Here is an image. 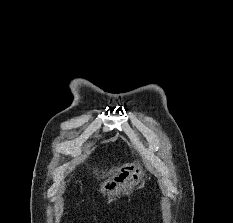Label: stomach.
I'll use <instances>...</instances> for the list:
<instances>
[{"instance_id":"1","label":"stomach","mask_w":233,"mask_h":223,"mask_svg":"<svg viewBox=\"0 0 233 223\" xmlns=\"http://www.w3.org/2000/svg\"><path fill=\"white\" fill-rule=\"evenodd\" d=\"M145 175V169L138 159H131L127 163H122L111 177L103 179L99 183V193L107 195V197H119L125 191L134 189V185H138Z\"/></svg>"}]
</instances>
